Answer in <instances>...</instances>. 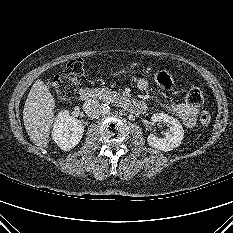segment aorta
<instances>
[{
    "mask_svg": "<svg viewBox=\"0 0 233 233\" xmlns=\"http://www.w3.org/2000/svg\"><path fill=\"white\" fill-rule=\"evenodd\" d=\"M103 108H102V115H106L110 112V107L108 104H102Z\"/></svg>",
    "mask_w": 233,
    "mask_h": 233,
    "instance_id": "aorta-1",
    "label": "aorta"
}]
</instances>
